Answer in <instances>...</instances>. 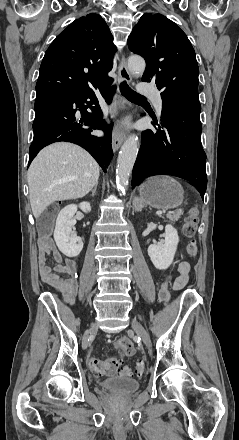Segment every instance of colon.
I'll use <instances>...</instances> for the list:
<instances>
[{
  "mask_svg": "<svg viewBox=\"0 0 239 440\" xmlns=\"http://www.w3.org/2000/svg\"><path fill=\"white\" fill-rule=\"evenodd\" d=\"M197 223H198V212L195 208L189 210L187 217L185 218V222L183 225V232L186 237L192 238L195 236L197 232ZM187 253L190 256H195L197 253V244L194 240H191L187 245ZM159 298L164 303H168L170 301V292H169V280L162 283L159 289ZM116 348L124 353L125 355H129L133 351V346L131 342L125 338L120 337L116 341ZM89 369L99 375H113L116 373L127 374L129 370L121 364V361L117 358H109L106 360H101L97 358H91L88 362ZM145 370V364L143 361L139 360L136 364V373L142 374Z\"/></svg>",
  "mask_w": 239,
  "mask_h": 440,
  "instance_id": "obj_1",
  "label": "colon"
}]
</instances>
